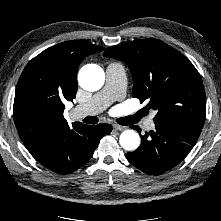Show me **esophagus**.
I'll return each mask as SVG.
<instances>
[{
  "instance_id": "1",
  "label": "esophagus",
  "mask_w": 221,
  "mask_h": 221,
  "mask_svg": "<svg viewBox=\"0 0 221 221\" xmlns=\"http://www.w3.org/2000/svg\"><path fill=\"white\" fill-rule=\"evenodd\" d=\"M113 129H114V130H117V131H123V130L126 129V127H125V126H121V125L114 124V125H113Z\"/></svg>"
}]
</instances>
